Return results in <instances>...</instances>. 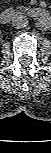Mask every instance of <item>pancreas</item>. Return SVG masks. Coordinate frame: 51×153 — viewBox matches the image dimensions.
<instances>
[{"label":"pancreas","instance_id":"obj_1","mask_svg":"<svg viewBox=\"0 0 51 153\" xmlns=\"http://www.w3.org/2000/svg\"><path fill=\"white\" fill-rule=\"evenodd\" d=\"M18 9L23 10V9H25V7L20 6V7H18Z\"/></svg>","mask_w":51,"mask_h":153}]
</instances>
